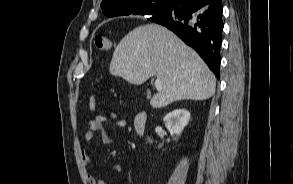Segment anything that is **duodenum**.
<instances>
[{
  "label": "duodenum",
  "mask_w": 293,
  "mask_h": 184,
  "mask_svg": "<svg viewBox=\"0 0 293 184\" xmlns=\"http://www.w3.org/2000/svg\"><path fill=\"white\" fill-rule=\"evenodd\" d=\"M148 116L145 112L138 113L134 118V130L138 135H142L146 129Z\"/></svg>",
  "instance_id": "duodenum-1"
}]
</instances>
